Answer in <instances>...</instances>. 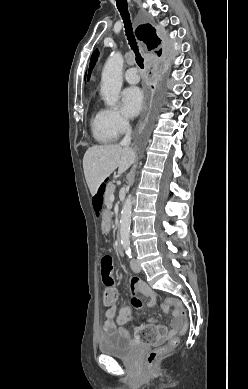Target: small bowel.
<instances>
[{"instance_id":"1","label":"small bowel","mask_w":248,"mask_h":389,"mask_svg":"<svg viewBox=\"0 0 248 389\" xmlns=\"http://www.w3.org/2000/svg\"><path fill=\"white\" fill-rule=\"evenodd\" d=\"M132 294V308L138 310L142 307L141 296L144 294L149 297V305H153L156 300L159 298V295L156 291H154L145 281H143L139 277H135L130 287ZM113 291L118 296V291L116 286L107 287L104 292ZM116 302V301H115ZM111 303L107 305V309L105 312L106 320L103 326L104 336L110 335L113 333L120 334L124 337L130 338V334L128 330L125 328V325L133 320V312L132 309H121L117 311L116 305ZM162 308L165 313H167V308L162 305ZM175 329L171 331V334L175 333ZM163 338H159L158 340H150V344L158 343ZM135 340L139 341V337H136Z\"/></svg>"}]
</instances>
